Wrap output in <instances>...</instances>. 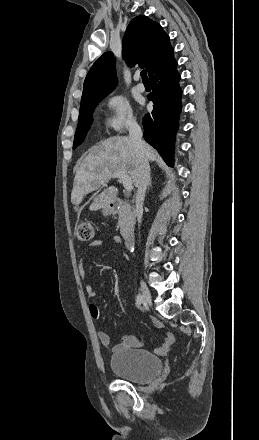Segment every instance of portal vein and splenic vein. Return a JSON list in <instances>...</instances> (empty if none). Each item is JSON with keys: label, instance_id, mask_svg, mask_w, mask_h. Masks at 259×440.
Listing matches in <instances>:
<instances>
[{"label": "portal vein and splenic vein", "instance_id": "1", "mask_svg": "<svg viewBox=\"0 0 259 440\" xmlns=\"http://www.w3.org/2000/svg\"><path fill=\"white\" fill-rule=\"evenodd\" d=\"M113 178H118L125 188L126 191L131 192L133 190L132 180L129 175L125 172H116L112 175ZM102 185H105V182H102Z\"/></svg>", "mask_w": 259, "mask_h": 440}]
</instances>
